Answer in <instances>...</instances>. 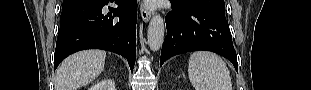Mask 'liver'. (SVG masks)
I'll use <instances>...</instances> for the list:
<instances>
[{
    "label": "liver",
    "instance_id": "1",
    "mask_svg": "<svg viewBox=\"0 0 311 90\" xmlns=\"http://www.w3.org/2000/svg\"><path fill=\"white\" fill-rule=\"evenodd\" d=\"M106 52L84 50L67 57L59 66L55 90H77L92 82L104 69Z\"/></svg>",
    "mask_w": 311,
    "mask_h": 90
}]
</instances>
